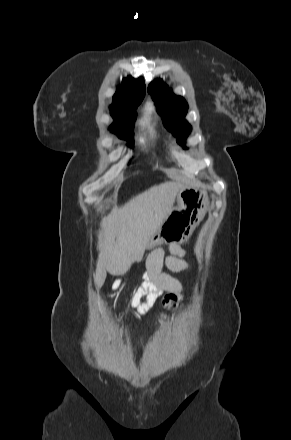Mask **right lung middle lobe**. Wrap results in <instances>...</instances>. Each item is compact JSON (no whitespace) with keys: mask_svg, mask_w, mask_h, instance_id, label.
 Here are the masks:
<instances>
[{"mask_svg":"<svg viewBox=\"0 0 291 440\" xmlns=\"http://www.w3.org/2000/svg\"><path fill=\"white\" fill-rule=\"evenodd\" d=\"M111 115L114 122L109 127L110 130L116 133L119 138L127 140L128 146H133V123L137 116L135 110L130 112L111 111Z\"/></svg>","mask_w":291,"mask_h":440,"instance_id":"right-lung-middle-lobe-1","label":"right lung middle lobe"}]
</instances>
